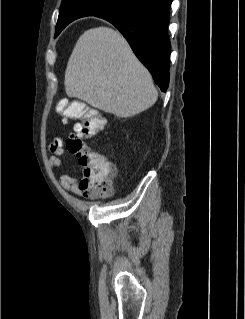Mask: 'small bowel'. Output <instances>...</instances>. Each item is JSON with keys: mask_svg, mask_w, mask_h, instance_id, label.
I'll return each instance as SVG.
<instances>
[{"mask_svg": "<svg viewBox=\"0 0 245 319\" xmlns=\"http://www.w3.org/2000/svg\"><path fill=\"white\" fill-rule=\"evenodd\" d=\"M49 151L52 155L49 158V164L52 168H61L63 166L62 155L64 154L63 139L56 137L49 145ZM60 184L66 191H71L75 195H81L77 180L68 175L60 176Z\"/></svg>", "mask_w": 245, "mask_h": 319, "instance_id": "small-bowel-1", "label": "small bowel"}]
</instances>
